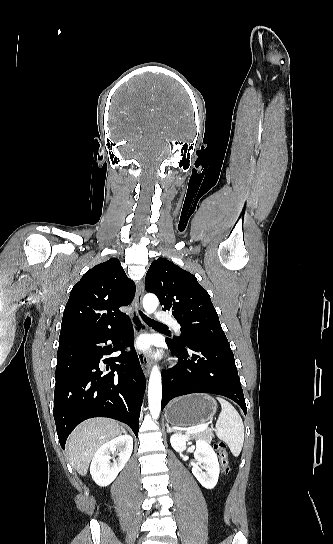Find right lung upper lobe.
Returning <instances> with one entry per match:
<instances>
[{"label":"right lung upper lobe","mask_w":333,"mask_h":544,"mask_svg":"<svg viewBox=\"0 0 333 544\" xmlns=\"http://www.w3.org/2000/svg\"><path fill=\"white\" fill-rule=\"evenodd\" d=\"M134 292L135 284L117 258L94 266L72 288L59 342L118 326L128 317L119 308L130 304Z\"/></svg>","instance_id":"1"}]
</instances>
